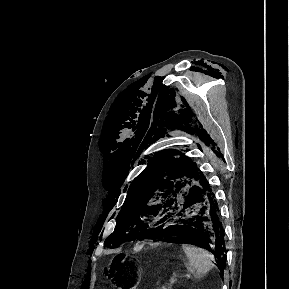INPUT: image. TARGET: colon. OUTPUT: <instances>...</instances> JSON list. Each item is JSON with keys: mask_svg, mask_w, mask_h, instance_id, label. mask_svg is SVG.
<instances>
[{"mask_svg": "<svg viewBox=\"0 0 289 289\" xmlns=\"http://www.w3.org/2000/svg\"><path fill=\"white\" fill-rule=\"evenodd\" d=\"M106 275L118 289H137L140 279L138 267L131 262L125 261L110 265L106 269Z\"/></svg>", "mask_w": 289, "mask_h": 289, "instance_id": "5ec220e1", "label": "colon"}]
</instances>
